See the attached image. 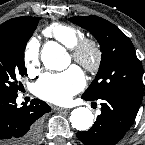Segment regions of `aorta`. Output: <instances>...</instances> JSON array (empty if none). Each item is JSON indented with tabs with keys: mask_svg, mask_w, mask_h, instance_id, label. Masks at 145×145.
I'll list each match as a JSON object with an SVG mask.
<instances>
[{
	"mask_svg": "<svg viewBox=\"0 0 145 145\" xmlns=\"http://www.w3.org/2000/svg\"><path fill=\"white\" fill-rule=\"evenodd\" d=\"M41 61L49 70L62 71L69 65L65 48L56 42L46 43L41 53ZM70 122L73 128L85 131L92 127L94 116L86 107H78L71 112Z\"/></svg>",
	"mask_w": 145,
	"mask_h": 145,
	"instance_id": "1",
	"label": "aorta"
}]
</instances>
